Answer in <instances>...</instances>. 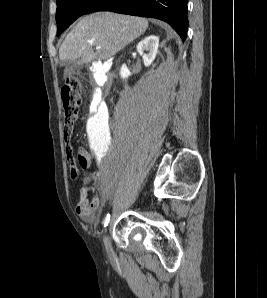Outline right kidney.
Segmentation results:
<instances>
[{"label":"right kidney","mask_w":267,"mask_h":298,"mask_svg":"<svg viewBox=\"0 0 267 298\" xmlns=\"http://www.w3.org/2000/svg\"><path fill=\"white\" fill-rule=\"evenodd\" d=\"M159 46V38L155 35H149L141 40L137 45V52L142 56L144 65L146 67L150 66L154 61ZM144 51L148 53L145 54ZM130 71L128 70L126 64H123L120 69V76L123 79L128 78L130 76Z\"/></svg>","instance_id":"1"}]
</instances>
